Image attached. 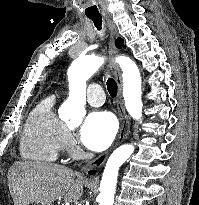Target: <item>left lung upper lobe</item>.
<instances>
[{
	"label": "left lung upper lobe",
	"instance_id": "1",
	"mask_svg": "<svg viewBox=\"0 0 199 205\" xmlns=\"http://www.w3.org/2000/svg\"><path fill=\"white\" fill-rule=\"evenodd\" d=\"M115 44H116V46L118 47V48H122V46H123V40L122 39H117L116 41H115Z\"/></svg>",
	"mask_w": 199,
	"mask_h": 205
}]
</instances>
